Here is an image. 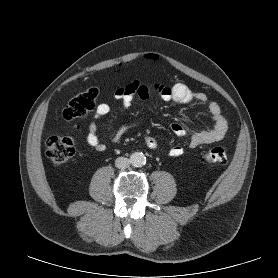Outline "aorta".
<instances>
[{
    "instance_id": "1",
    "label": "aorta",
    "mask_w": 278,
    "mask_h": 278,
    "mask_svg": "<svg viewBox=\"0 0 278 278\" xmlns=\"http://www.w3.org/2000/svg\"><path fill=\"white\" fill-rule=\"evenodd\" d=\"M130 162L135 167H142L146 164V156L142 152H134L130 156Z\"/></svg>"
}]
</instances>
